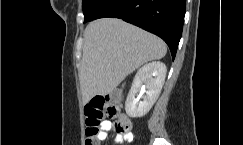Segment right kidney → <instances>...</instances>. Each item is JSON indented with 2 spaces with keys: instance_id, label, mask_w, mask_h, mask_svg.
<instances>
[{
  "instance_id": "ca27d5eb",
  "label": "right kidney",
  "mask_w": 243,
  "mask_h": 145,
  "mask_svg": "<svg viewBox=\"0 0 243 145\" xmlns=\"http://www.w3.org/2000/svg\"><path fill=\"white\" fill-rule=\"evenodd\" d=\"M166 72V65L160 61L147 63L138 70L125 102V110L130 117H143L149 112L160 95ZM138 93L142 101L136 98Z\"/></svg>"
}]
</instances>
